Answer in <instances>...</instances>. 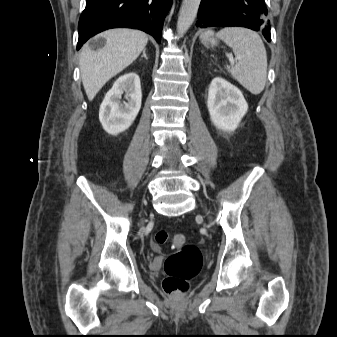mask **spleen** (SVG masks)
<instances>
[{
  "label": "spleen",
  "mask_w": 337,
  "mask_h": 337,
  "mask_svg": "<svg viewBox=\"0 0 337 337\" xmlns=\"http://www.w3.org/2000/svg\"><path fill=\"white\" fill-rule=\"evenodd\" d=\"M216 36L233 49L237 63L227 70L244 88L260 94L267 79V54L264 43L255 32L243 27H226Z\"/></svg>",
  "instance_id": "obj_1"
}]
</instances>
